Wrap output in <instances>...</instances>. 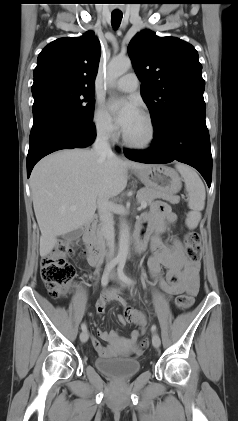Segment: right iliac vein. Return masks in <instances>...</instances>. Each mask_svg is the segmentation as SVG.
I'll list each match as a JSON object with an SVG mask.
<instances>
[{"label":"right iliac vein","instance_id":"63e3f726","mask_svg":"<svg viewBox=\"0 0 238 421\" xmlns=\"http://www.w3.org/2000/svg\"><path fill=\"white\" fill-rule=\"evenodd\" d=\"M88 338H89L88 332L87 331H82L81 334H80V340H81V342H83V343L87 342Z\"/></svg>","mask_w":238,"mask_h":421}]
</instances>
